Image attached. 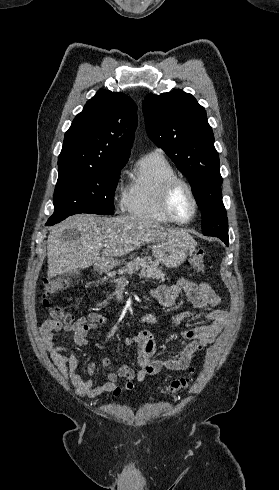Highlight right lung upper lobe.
I'll use <instances>...</instances> for the list:
<instances>
[{"instance_id": "1", "label": "right lung upper lobe", "mask_w": 279, "mask_h": 490, "mask_svg": "<svg viewBox=\"0 0 279 490\" xmlns=\"http://www.w3.org/2000/svg\"><path fill=\"white\" fill-rule=\"evenodd\" d=\"M136 127L132 99L123 93L100 90L65 133L58 166L126 164Z\"/></svg>"}]
</instances>
